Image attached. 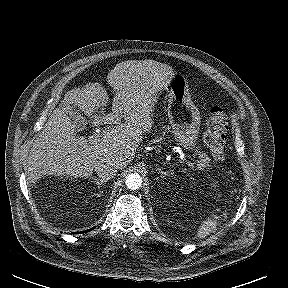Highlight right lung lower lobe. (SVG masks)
I'll use <instances>...</instances> for the list:
<instances>
[{
    "label": "right lung lower lobe",
    "mask_w": 288,
    "mask_h": 288,
    "mask_svg": "<svg viewBox=\"0 0 288 288\" xmlns=\"http://www.w3.org/2000/svg\"><path fill=\"white\" fill-rule=\"evenodd\" d=\"M92 229H93V228H92ZM92 229L86 230V231H84V232H88V231H91Z\"/></svg>",
    "instance_id": "right-lung-lower-lobe-1"
}]
</instances>
